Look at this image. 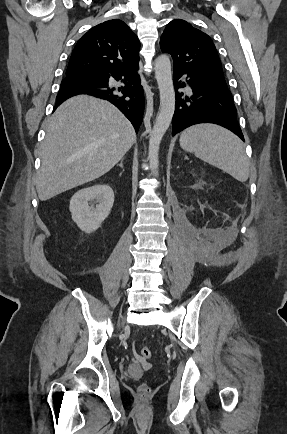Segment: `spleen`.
Wrapping results in <instances>:
<instances>
[{
	"instance_id": "obj_1",
	"label": "spleen",
	"mask_w": 287,
	"mask_h": 434,
	"mask_svg": "<svg viewBox=\"0 0 287 434\" xmlns=\"http://www.w3.org/2000/svg\"><path fill=\"white\" fill-rule=\"evenodd\" d=\"M180 146L187 152L228 173L240 182L249 178L250 164L241 139L214 124H199L184 130Z\"/></svg>"
}]
</instances>
